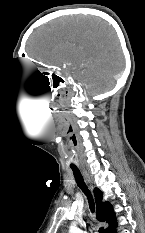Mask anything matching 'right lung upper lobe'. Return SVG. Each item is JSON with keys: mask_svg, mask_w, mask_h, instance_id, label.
I'll return each mask as SVG.
<instances>
[{"mask_svg": "<svg viewBox=\"0 0 145 233\" xmlns=\"http://www.w3.org/2000/svg\"><path fill=\"white\" fill-rule=\"evenodd\" d=\"M94 196L97 205V219L109 224V227L106 229L107 232L116 224L115 213L109 202H102L103 194L98 188L94 189Z\"/></svg>", "mask_w": 145, "mask_h": 233, "instance_id": "1", "label": "right lung upper lobe"}]
</instances>
